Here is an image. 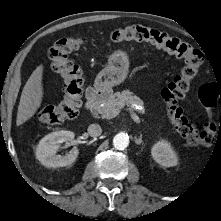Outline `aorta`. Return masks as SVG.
<instances>
[{
  "instance_id": "1",
  "label": "aorta",
  "mask_w": 221,
  "mask_h": 221,
  "mask_svg": "<svg viewBox=\"0 0 221 221\" xmlns=\"http://www.w3.org/2000/svg\"><path fill=\"white\" fill-rule=\"evenodd\" d=\"M113 145L117 150H124L129 145V137L125 133H118L113 138Z\"/></svg>"
}]
</instances>
